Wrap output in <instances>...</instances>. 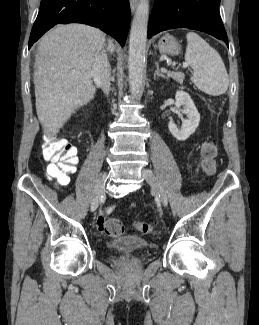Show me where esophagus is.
Here are the masks:
<instances>
[{
    "label": "esophagus",
    "instance_id": "1",
    "mask_svg": "<svg viewBox=\"0 0 259 325\" xmlns=\"http://www.w3.org/2000/svg\"><path fill=\"white\" fill-rule=\"evenodd\" d=\"M129 1H130L131 12L134 13L137 8L138 0H129Z\"/></svg>",
    "mask_w": 259,
    "mask_h": 325
}]
</instances>
